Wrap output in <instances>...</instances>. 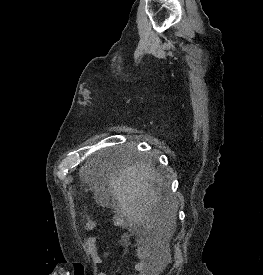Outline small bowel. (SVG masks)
Returning <instances> with one entry per match:
<instances>
[{
  "instance_id": "obj_1",
  "label": "small bowel",
  "mask_w": 263,
  "mask_h": 275,
  "mask_svg": "<svg viewBox=\"0 0 263 275\" xmlns=\"http://www.w3.org/2000/svg\"><path fill=\"white\" fill-rule=\"evenodd\" d=\"M98 223L96 221H89L85 225L86 230H93L96 228ZM98 237L92 236L87 240L86 246L88 253L92 257L93 263L100 264L102 262L101 257L98 254L97 249ZM136 255L137 262L135 264V273L131 275H155L156 269L150 261L148 248L141 242L136 243ZM98 275H106L105 273H99Z\"/></svg>"
}]
</instances>
